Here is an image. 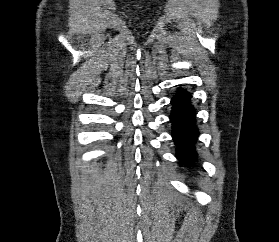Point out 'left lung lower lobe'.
<instances>
[{"label": "left lung lower lobe", "instance_id": "0a47b994", "mask_svg": "<svg viewBox=\"0 0 279 242\" xmlns=\"http://www.w3.org/2000/svg\"><path fill=\"white\" fill-rule=\"evenodd\" d=\"M187 91L180 89L172 98V110L169 116L172 124L171 135L176 145V157L185 166H194L197 162L195 143L197 126L195 110L191 106Z\"/></svg>", "mask_w": 279, "mask_h": 242}]
</instances>
